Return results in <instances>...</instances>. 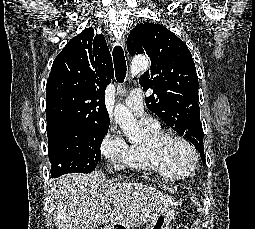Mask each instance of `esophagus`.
Masks as SVG:
<instances>
[{"instance_id":"34e87169","label":"esophagus","mask_w":255,"mask_h":229,"mask_svg":"<svg viewBox=\"0 0 255 229\" xmlns=\"http://www.w3.org/2000/svg\"><path fill=\"white\" fill-rule=\"evenodd\" d=\"M116 44H119L121 47L124 48V46H125V37L122 36V37L118 38V39L116 40Z\"/></svg>"}]
</instances>
